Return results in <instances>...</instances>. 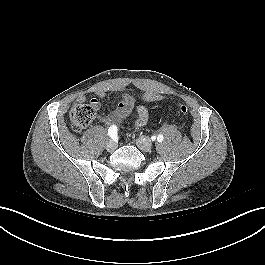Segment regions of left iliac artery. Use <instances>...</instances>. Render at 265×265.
I'll return each mask as SVG.
<instances>
[{"label": "left iliac artery", "instance_id": "1", "mask_svg": "<svg viewBox=\"0 0 265 265\" xmlns=\"http://www.w3.org/2000/svg\"><path fill=\"white\" fill-rule=\"evenodd\" d=\"M164 139L163 135L159 134L157 137L158 142H162Z\"/></svg>", "mask_w": 265, "mask_h": 265}]
</instances>
